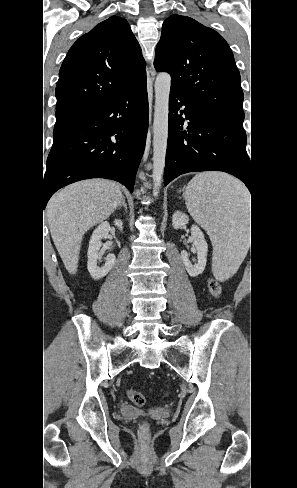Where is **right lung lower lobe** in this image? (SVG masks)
<instances>
[{
  "mask_svg": "<svg viewBox=\"0 0 297 488\" xmlns=\"http://www.w3.org/2000/svg\"><path fill=\"white\" fill-rule=\"evenodd\" d=\"M148 129L146 78L110 101L54 128L43 205L60 188L90 178L118 181L133 192Z\"/></svg>",
  "mask_w": 297,
  "mask_h": 488,
  "instance_id": "right-lung-lower-lobe-1",
  "label": "right lung lower lobe"
}]
</instances>
